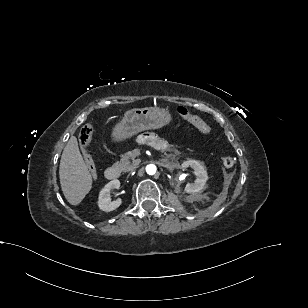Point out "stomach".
<instances>
[{
	"label": "stomach",
	"instance_id": "stomach-1",
	"mask_svg": "<svg viewBox=\"0 0 308 308\" xmlns=\"http://www.w3.org/2000/svg\"><path fill=\"white\" fill-rule=\"evenodd\" d=\"M172 121V115L164 108H133L124 114L122 120L112 130L114 141H122L151 129H159Z\"/></svg>",
	"mask_w": 308,
	"mask_h": 308
}]
</instances>
